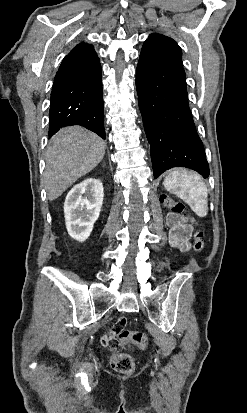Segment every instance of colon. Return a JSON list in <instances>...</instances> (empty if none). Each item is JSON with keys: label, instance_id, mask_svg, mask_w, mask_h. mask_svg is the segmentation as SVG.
<instances>
[{"label": "colon", "instance_id": "1", "mask_svg": "<svg viewBox=\"0 0 247 413\" xmlns=\"http://www.w3.org/2000/svg\"><path fill=\"white\" fill-rule=\"evenodd\" d=\"M161 201L162 204L177 217H186L187 214H189L181 201L168 196L162 197ZM192 240L193 249L197 252H203L204 240L202 232L198 230L194 231ZM117 340L123 344H132L133 350L135 347H138L139 351L148 350V337L143 331L132 332L130 330L129 332H120L117 335ZM110 364L116 371L121 373H130L135 369V361L128 353H114V355L110 357Z\"/></svg>", "mask_w": 247, "mask_h": 413}]
</instances>
